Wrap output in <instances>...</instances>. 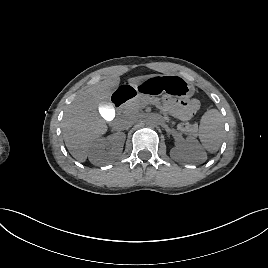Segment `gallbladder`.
I'll return each instance as SVG.
<instances>
[{"instance_id":"1","label":"gallbladder","mask_w":268,"mask_h":268,"mask_svg":"<svg viewBox=\"0 0 268 268\" xmlns=\"http://www.w3.org/2000/svg\"><path fill=\"white\" fill-rule=\"evenodd\" d=\"M98 113L107 121H112L116 117L115 108L110 102L103 101L98 104Z\"/></svg>"}]
</instances>
